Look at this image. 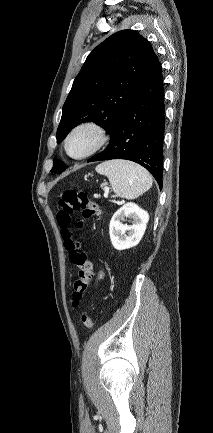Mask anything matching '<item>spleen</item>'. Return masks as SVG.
Returning <instances> with one entry per match:
<instances>
[{
  "label": "spleen",
  "mask_w": 213,
  "mask_h": 433,
  "mask_svg": "<svg viewBox=\"0 0 213 433\" xmlns=\"http://www.w3.org/2000/svg\"><path fill=\"white\" fill-rule=\"evenodd\" d=\"M96 172L105 175L113 191L126 199L139 197L148 191L153 183L146 169L125 160L105 161L96 167Z\"/></svg>",
  "instance_id": "spleen-1"
}]
</instances>
